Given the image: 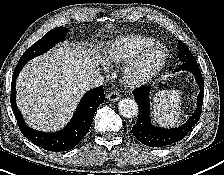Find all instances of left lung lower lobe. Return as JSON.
I'll return each mask as SVG.
<instances>
[{
  "label": "left lung lower lobe",
  "instance_id": "0a47b994",
  "mask_svg": "<svg viewBox=\"0 0 224 175\" xmlns=\"http://www.w3.org/2000/svg\"><path fill=\"white\" fill-rule=\"evenodd\" d=\"M180 70L192 72L200 88L196 111L181 127L164 129L152 125L150 121L149 105L150 87L143 85L132 92L139 107L138 119L133 126L132 132L137 140L146 146L164 147L182 140L200 118L204 97V81L201 72L197 63H182L175 71L177 72Z\"/></svg>",
  "mask_w": 224,
  "mask_h": 175
}]
</instances>
